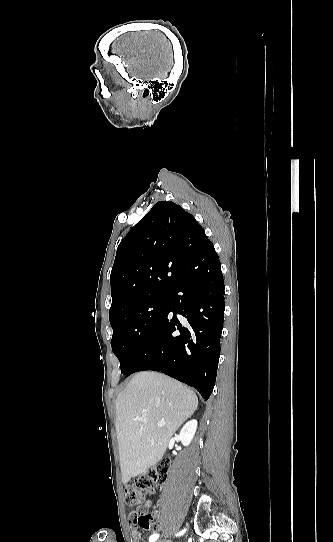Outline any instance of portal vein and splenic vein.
I'll return each instance as SVG.
<instances>
[{
	"label": "portal vein and splenic vein",
	"instance_id": "obj_1",
	"mask_svg": "<svg viewBox=\"0 0 333 542\" xmlns=\"http://www.w3.org/2000/svg\"><path fill=\"white\" fill-rule=\"evenodd\" d=\"M139 422H147L146 418H138ZM157 426H166L165 422H158Z\"/></svg>",
	"mask_w": 333,
	"mask_h": 542
}]
</instances>
